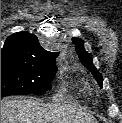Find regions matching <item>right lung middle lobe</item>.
Instances as JSON below:
<instances>
[{"label": "right lung middle lobe", "mask_w": 122, "mask_h": 123, "mask_svg": "<svg viewBox=\"0 0 122 123\" xmlns=\"http://www.w3.org/2000/svg\"><path fill=\"white\" fill-rule=\"evenodd\" d=\"M56 71L54 63L1 59V97L48 91Z\"/></svg>", "instance_id": "1"}]
</instances>
